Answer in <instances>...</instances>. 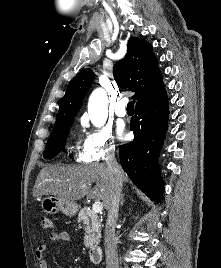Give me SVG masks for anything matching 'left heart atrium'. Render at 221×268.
<instances>
[{
  "mask_svg": "<svg viewBox=\"0 0 221 268\" xmlns=\"http://www.w3.org/2000/svg\"><path fill=\"white\" fill-rule=\"evenodd\" d=\"M118 135L120 138H125V133L123 127L118 128Z\"/></svg>",
  "mask_w": 221,
  "mask_h": 268,
  "instance_id": "obj_1",
  "label": "left heart atrium"
}]
</instances>
